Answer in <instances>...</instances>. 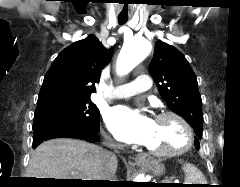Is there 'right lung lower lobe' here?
<instances>
[{"instance_id":"right-lung-lower-lobe-1","label":"right lung lower lobe","mask_w":240,"mask_h":187,"mask_svg":"<svg viewBox=\"0 0 240 187\" xmlns=\"http://www.w3.org/2000/svg\"><path fill=\"white\" fill-rule=\"evenodd\" d=\"M98 132L99 124L82 129L66 124L50 123L34 130L33 147L36 148L43 141L54 138H77L94 143L98 140Z\"/></svg>"}]
</instances>
